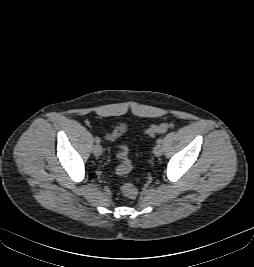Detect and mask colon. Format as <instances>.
<instances>
[{
    "label": "colon",
    "mask_w": 254,
    "mask_h": 267,
    "mask_svg": "<svg viewBox=\"0 0 254 267\" xmlns=\"http://www.w3.org/2000/svg\"><path fill=\"white\" fill-rule=\"evenodd\" d=\"M168 128L169 125L167 123H161L158 125H152L148 127L147 129H145L144 132L148 136L153 137L165 133L168 130ZM118 158L120 160V164L118 165L116 172L118 175L124 176L128 174L132 169L131 161L128 158L127 146H122L120 148L118 153ZM121 191L122 194L128 199H134L138 194L137 188L131 183H125L124 185H122Z\"/></svg>",
    "instance_id": "obj_1"
}]
</instances>
